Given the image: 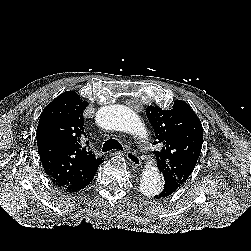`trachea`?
<instances>
[{"label":"trachea","mask_w":251,"mask_h":251,"mask_svg":"<svg viewBox=\"0 0 251 251\" xmlns=\"http://www.w3.org/2000/svg\"><path fill=\"white\" fill-rule=\"evenodd\" d=\"M112 149H117L123 151L122 145L116 139H108L102 147V152H107Z\"/></svg>","instance_id":"1"}]
</instances>
